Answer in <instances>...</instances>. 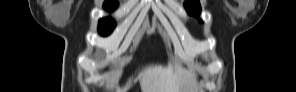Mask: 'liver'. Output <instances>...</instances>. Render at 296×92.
Segmentation results:
<instances>
[{"mask_svg":"<svg viewBox=\"0 0 296 92\" xmlns=\"http://www.w3.org/2000/svg\"><path fill=\"white\" fill-rule=\"evenodd\" d=\"M114 80V79H112ZM141 92H191L196 82V74L192 69H184L178 62L167 66L149 65L138 75ZM114 87V85H110ZM132 86V80L123 89L117 85L116 92H127Z\"/></svg>","mask_w":296,"mask_h":92,"instance_id":"6515ba94","label":"liver"}]
</instances>
